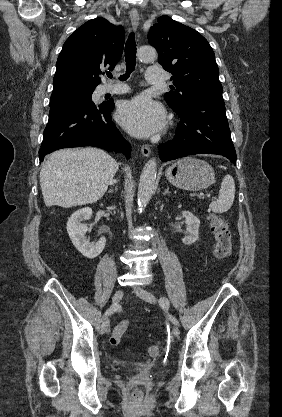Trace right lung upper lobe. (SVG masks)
Returning a JSON list of instances; mask_svg holds the SVG:
<instances>
[{"mask_svg": "<svg viewBox=\"0 0 282 417\" xmlns=\"http://www.w3.org/2000/svg\"><path fill=\"white\" fill-rule=\"evenodd\" d=\"M124 39V30L102 17L79 27L59 54L52 94L95 89L101 69H113L121 58Z\"/></svg>", "mask_w": 282, "mask_h": 417, "instance_id": "right-lung-upper-lobe-1", "label": "right lung upper lobe"}]
</instances>
